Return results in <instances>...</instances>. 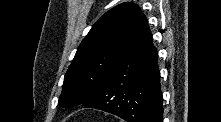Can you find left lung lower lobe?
Wrapping results in <instances>:
<instances>
[{"label":"left lung lower lobe","instance_id":"obj_1","mask_svg":"<svg viewBox=\"0 0 221 122\" xmlns=\"http://www.w3.org/2000/svg\"><path fill=\"white\" fill-rule=\"evenodd\" d=\"M158 54L146 17L139 10L119 60L84 106L127 122H161L163 114Z\"/></svg>","mask_w":221,"mask_h":122}]
</instances>
